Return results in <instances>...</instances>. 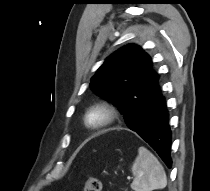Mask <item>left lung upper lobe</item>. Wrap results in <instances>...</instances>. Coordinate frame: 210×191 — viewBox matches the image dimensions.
I'll return each mask as SVG.
<instances>
[{"label": "left lung upper lobe", "mask_w": 210, "mask_h": 191, "mask_svg": "<svg viewBox=\"0 0 210 191\" xmlns=\"http://www.w3.org/2000/svg\"><path fill=\"white\" fill-rule=\"evenodd\" d=\"M158 75L150 56L134 44L110 55L91 78V89L113 102L124 113L125 121L133 119L138 103L149 95Z\"/></svg>", "instance_id": "obj_1"}]
</instances>
